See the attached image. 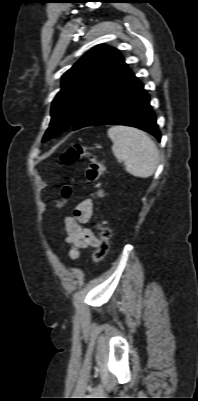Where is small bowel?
Listing matches in <instances>:
<instances>
[{
  "label": "small bowel",
  "mask_w": 198,
  "mask_h": 401,
  "mask_svg": "<svg viewBox=\"0 0 198 401\" xmlns=\"http://www.w3.org/2000/svg\"><path fill=\"white\" fill-rule=\"evenodd\" d=\"M93 213L92 202L84 200L74 209L73 214L65 218L64 238L70 246L69 257L72 260L79 258L80 249L97 247L98 237L85 225L89 222Z\"/></svg>",
  "instance_id": "c3829d8e"
}]
</instances>
